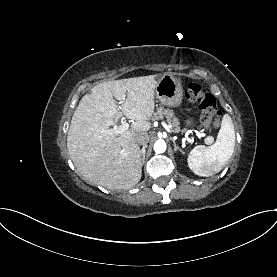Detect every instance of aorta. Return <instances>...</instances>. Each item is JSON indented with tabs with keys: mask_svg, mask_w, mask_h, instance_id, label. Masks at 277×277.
Here are the masks:
<instances>
[{
	"mask_svg": "<svg viewBox=\"0 0 277 277\" xmlns=\"http://www.w3.org/2000/svg\"><path fill=\"white\" fill-rule=\"evenodd\" d=\"M154 151L156 153H163L166 151V143L165 141L163 140H157L155 143H154Z\"/></svg>",
	"mask_w": 277,
	"mask_h": 277,
	"instance_id": "aorta-1",
	"label": "aorta"
}]
</instances>
